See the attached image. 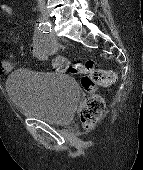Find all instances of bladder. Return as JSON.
<instances>
[{"instance_id": "bladder-1", "label": "bladder", "mask_w": 143, "mask_h": 170, "mask_svg": "<svg viewBox=\"0 0 143 170\" xmlns=\"http://www.w3.org/2000/svg\"><path fill=\"white\" fill-rule=\"evenodd\" d=\"M5 88L21 114L52 124L71 121L80 97L76 81L61 72L18 69Z\"/></svg>"}]
</instances>
